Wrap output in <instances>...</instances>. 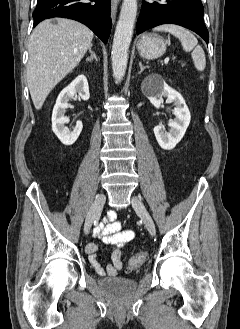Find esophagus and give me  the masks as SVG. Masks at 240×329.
Wrapping results in <instances>:
<instances>
[{
  "instance_id": "1",
  "label": "esophagus",
  "mask_w": 240,
  "mask_h": 329,
  "mask_svg": "<svg viewBox=\"0 0 240 329\" xmlns=\"http://www.w3.org/2000/svg\"><path fill=\"white\" fill-rule=\"evenodd\" d=\"M119 0H111V18L115 22Z\"/></svg>"
}]
</instances>
